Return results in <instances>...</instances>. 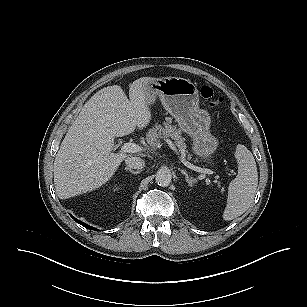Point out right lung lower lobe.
I'll list each match as a JSON object with an SVG mask.
<instances>
[{
	"instance_id": "98d812e1",
	"label": "right lung lower lobe",
	"mask_w": 307,
	"mask_h": 307,
	"mask_svg": "<svg viewBox=\"0 0 307 307\" xmlns=\"http://www.w3.org/2000/svg\"><path fill=\"white\" fill-rule=\"evenodd\" d=\"M71 217H72L76 222H78L79 224H81L82 226H84L85 228L90 229V230L98 231V229H96V228H94V227H92V226H89V225H87V224L81 222L80 220L74 218L73 216H71Z\"/></svg>"
}]
</instances>
